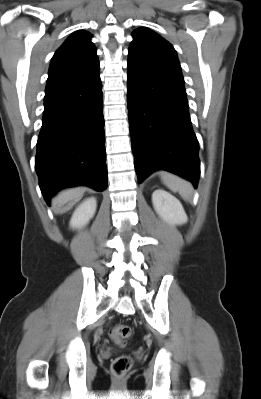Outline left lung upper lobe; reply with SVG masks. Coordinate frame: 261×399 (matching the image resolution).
<instances>
[{"label":"left lung upper lobe","mask_w":261,"mask_h":399,"mask_svg":"<svg viewBox=\"0 0 261 399\" xmlns=\"http://www.w3.org/2000/svg\"><path fill=\"white\" fill-rule=\"evenodd\" d=\"M128 67L148 75L184 82L173 46L155 32L139 28L133 32Z\"/></svg>","instance_id":"obj_1"}]
</instances>
